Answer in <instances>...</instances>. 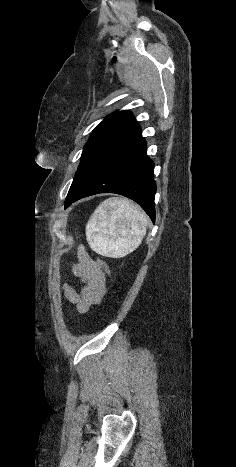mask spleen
<instances>
[{"mask_svg": "<svg viewBox=\"0 0 236 467\" xmlns=\"http://www.w3.org/2000/svg\"><path fill=\"white\" fill-rule=\"evenodd\" d=\"M148 221L140 208L123 198L103 201L86 225L87 241L96 253L121 258L142 242Z\"/></svg>", "mask_w": 236, "mask_h": 467, "instance_id": "spleen-1", "label": "spleen"}]
</instances>
